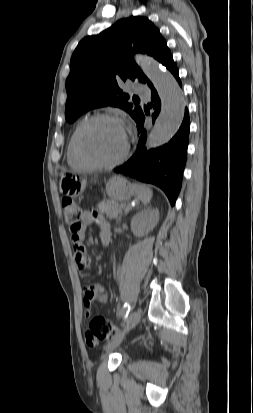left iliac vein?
<instances>
[{"mask_svg": "<svg viewBox=\"0 0 253 413\" xmlns=\"http://www.w3.org/2000/svg\"><path fill=\"white\" fill-rule=\"evenodd\" d=\"M141 319V313L139 311H134L130 316L129 319L127 321V324L124 327V331L122 334H120L118 337H116L113 341H111L110 343H108V345L105 347L106 352H111L112 350H114L116 347L119 346V344L121 343L124 334L127 333L129 330H131L132 328H134Z\"/></svg>", "mask_w": 253, "mask_h": 413, "instance_id": "obj_1", "label": "left iliac vein"}]
</instances>
